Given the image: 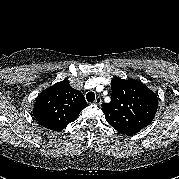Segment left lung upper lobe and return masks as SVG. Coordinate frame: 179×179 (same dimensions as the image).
I'll use <instances>...</instances> for the list:
<instances>
[{
	"instance_id": "5c2ea615",
	"label": "left lung upper lobe",
	"mask_w": 179,
	"mask_h": 179,
	"mask_svg": "<svg viewBox=\"0 0 179 179\" xmlns=\"http://www.w3.org/2000/svg\"><path fill=\"white\" fill-rule=\"evenodd\" d=\"M111 88V101L101 110L118 133L133 135L151 123L158 107L153 91L138 80L118 77L112 79Z\"/></svg>"
}]
</instances>
